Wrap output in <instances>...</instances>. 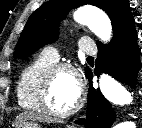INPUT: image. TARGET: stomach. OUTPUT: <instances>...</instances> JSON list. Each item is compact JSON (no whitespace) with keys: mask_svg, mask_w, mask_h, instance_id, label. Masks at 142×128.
Instances as JSON below:
<instances>
[{"mask_svg":"<svg viewBox=\"0 0 142 128\" xmlns=\"http://www.w3.org/2000/svg\"><path fill=\"white\" fill-rule=\"evenodd\" d=\"M14 128H41V125L32 120H24L16 123Z\"/></svg>","mask_w":142,"mask_h":128,"instance_id":"obj_1","label":"stomach"}]
</instances>
